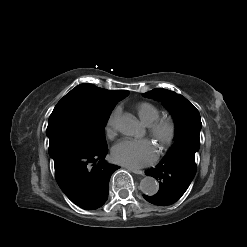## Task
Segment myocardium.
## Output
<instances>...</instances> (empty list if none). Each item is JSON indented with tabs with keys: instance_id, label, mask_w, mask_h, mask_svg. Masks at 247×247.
<instances>
[{
	"instance_id": "obj_1",
	"label": "myocardium",
	"mask_w": 247,
	"mask_h": 247,
	"mask_svg": "<svg viewBox=\"0 0 247 247\" xmlns=\"http://www.w3.org/2000/svg\"><path fill=\"white\" fill-rule=\"evenodd\" d=\"M150 135L162 149L172 145L177 133L176 122L170 117H161L148 124Z\"/></svg>"
}]
</instances>
